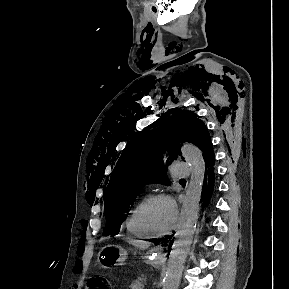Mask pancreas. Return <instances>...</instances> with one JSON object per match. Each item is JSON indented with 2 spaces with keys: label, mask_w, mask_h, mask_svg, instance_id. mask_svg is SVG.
<instances>
[{
  "label": "pancreas",
  "mask_w": 289,
  "mask_h": 289,
  "mask_svg": "<svg viewBox=\"0 0 289 289\" xmlns=\"http://www.w3.org/2000/svg\"><path fill=\"white\" fill-rule=\"evenodd\" d=\"M146 282V277L141 276L131 284V289H143Z\"/></svg>",
  "instance_id": "cf45deb5"
}]
</instances>
